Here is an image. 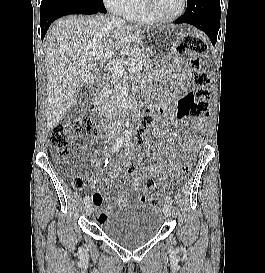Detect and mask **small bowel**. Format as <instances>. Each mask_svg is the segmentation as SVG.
I'll return each instance as SVG.
<instances>
[{"instance_id":"1","label":"small bowel","mask_w":265,"mask_h":273,"mask_svg":"<svg viewBox=\"0 0 265 273\" xmlns=\"http://www.w3.org/2000/svg\"><path fill=\"white\" fill-rule=\"evenodd\" d=\"M175 62H176V65L178 66L176 76H175L176 85L182 90L189 89L190 88L189 76L186 72L181 70L180 68L181 60L179 58H176ZM176 98H177L176 96L172 95V96H165L161 99L158 107L156 108V112L161 116V120L159 124L153 129L152 131L153 135L166 136L169 134V122L171 119V114L167 109L173 106V104L176 101ZM193 136H196V135H193ZM195 143L197 144L199 143V138L197 141H195ZM162 152L168 155L170 162L173 165L176 159V151L174 150V148L171 146H165L162 149ZM148 154L150 156L156 157L160 154V152L159 151L149 152ZM89 159L94 166L99 165V161L95 157L90 156ZM149 170H150L149 166H144L143 173L142 174L134 173V177L132 178V191L139 198L137 200L138 204L147 203L146 196L143 194L142 182H143V176L147 174ZM121 171H122V166L120 164L111 165L109 169V174H108L109 178L104 179V182L109 183L111 180L116 179L120 175ZM156 176L160 177L159 174H157ZM78 179L83 183V180L81 178H78ZM90 200L92 201V205L95 207L97 211V221L99 222L103 221L106 218L105 214H100L98 212V209L102 203V195L99 193H95L92 195ZM127 202H128L127 198L125 196H121L119 198L118 204L120 206H126Z\"/></svg>"}]
</instances>
